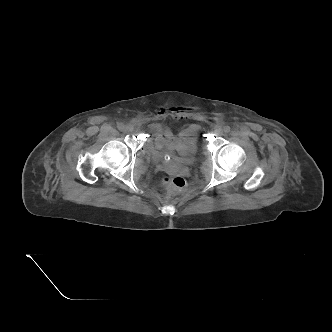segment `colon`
<instances>
[{
    "mask_svg": "<svg viewBox=\"0 0 332 332\" xmlns=\"http://www.w3.org/2000/svg\"><path fill=\"white\" fill-rule=\"evenodd\" d=\"M162 184L170 193L182 191L186 186V181L180 176H166L162 179Z\"/></svg>",
    "mask_w": 332,
    "mask_h": 332,
    "instance_id": "5ec220e1",
    "label": "colon"
}]
</instances>
